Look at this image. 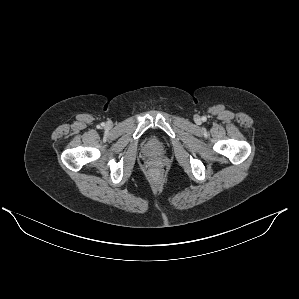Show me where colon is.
<instances>
[{
	"label": "colon",
	"mask_w": 299,
	"mask_h": 299,
	"mask_svg": "<svg viewBox=\"0 0 299 299\" xmlns=\"http://www.w3.org/2000/svg\"><path fill=\"white\" fill-rule=\"evenodd\" d=\"M150 176L151 178L153 179H157L159 176H160V172L157 168H153L151 171H150Z\"/></svg>",
	"instance_id": "5ec220e1"
}]
</instances>
